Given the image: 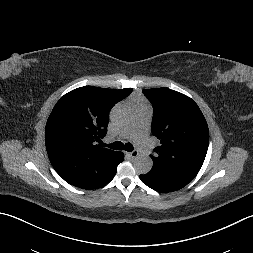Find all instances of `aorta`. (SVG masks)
I'll return each mask as SVG.
<instances>
[{"instance_id": "obj_1", "label": "aorta", "mask_w": 253, "mask_h": 253, "mask_svg": "<svg viewBox=\"0 0 253 253\" xmlns=\"http://www.w3.org/2000/svg\"><path fill=\"white\" fill-rule=\"evenodd\" d=\"M132 116L131 109L125 105H119L112 111V119L117 124L127 123ZM153 161L149 156H139L134 160V168L138 174H147L151 171Z\"/></svg>"}]
</instances>
